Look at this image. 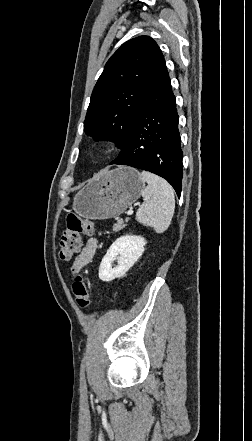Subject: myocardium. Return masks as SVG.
I'll list each match as a JSON object with an SVG mask.
<instances>
[{
    "label": "myocardium",
    "mask_w": 252,
    "mask_h": 441,
    "mask_svg": "<svg viewBox=\"0 0 252 441\" xmlns=\"http://www.w3.org/2000/svg\"><path fill=\"white\" fill-rule=\"evenodd\" d=\"M107 150V144L103 141H99L94 145V151L98 154L104 153Z\"/></svg>",
    "instance_id": "f54148a6"
}]
</instances>
